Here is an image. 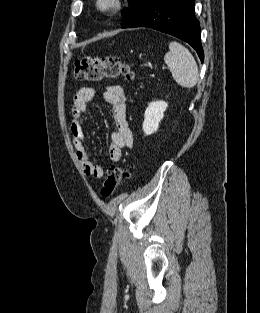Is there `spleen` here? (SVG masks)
I'll list each match as a JSON object with an SVG mask.
<instances>
[{
	"label": "spleen",
	"instance_id": "spleen-1",
	"mask_svg": "<svg viewBox=\"0 0 260 313\" xmlns=\"http://www.w3.org/2000/svg\"><path fill=\"white\" fill-rule=\"evenodd\" d=\"M165 63L176 83L185 88H192L197 84L198 66L190 51L176 41L169 43V52L164 56Z\"/></svg>",
	"mask_w": 260,
	"mask_h": 313
}]
</instances>
